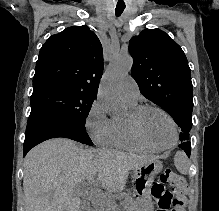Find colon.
Here are the masks:
<instances>
[{
	"instance_id": "1",
	"label": "colon",
	"mask_w": 219,
	"mask_h": 211,
	"mask_svg": "<svg viewBox=\"0 0 219 211\" xmlns=\"http://www.w3.org/2000/svg\"><path fill=\"white\" fill-rule=\"evenodd\" d=\"M159 182L162 185H167L172 189V210L185 211L187 203V186L184 178L172 169H165L159 176Z\"/></svg>"
}]
</instances>
